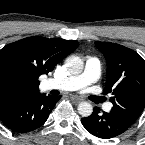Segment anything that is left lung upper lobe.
Listing matches in <instances>:
<instances>
[{"instance_id": "1", "label": "left lung upper lobe", "mask_w": 145, "mask_h": 145, "mask_svg": "<svg viewBox=\"0 0 145 145\" xmlns=\"http://www.w3.org/2000/svg\"><path fill=\"white\" fill-rule=\"evenodd\" d=\"M107 62L103 94L111 93V113L130 126L145 107V61L134 50L110 42H95Z\"/></svg>"}]
</instances>
